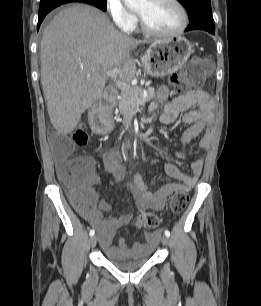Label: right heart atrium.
<instances>
[{
	"label": "right heart atrium",
	"instance_id": "d8ad5b80",
	"mask_svg": "<svg viewBox=\"0 0 261 306\" xmlns=\"http://www.w3.org/2000/svg\"><path fill=\"white\" fill-rule=\"evenodd\" d=\"M106 8L119 29L130 31L134 27L135 16L124 6L122 0H106Z\"/></svg>",
	"mask_w": 261,
	"mask_h": 306
}]
</instances>
